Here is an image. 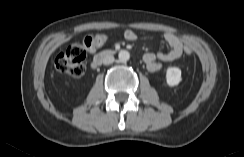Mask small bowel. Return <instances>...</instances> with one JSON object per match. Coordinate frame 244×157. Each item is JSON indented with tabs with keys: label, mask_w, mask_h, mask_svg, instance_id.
Returning a JSON list of instances; mask_svg holds the SVG:
<instances>
[{
	"label": "small bowel",
	"mask_w": 244,
	"mask_h": 157,
	"mask_svg": "<svg viewBox=\"0 0 244 157\" xmlns=\"http://www.w3.org/2000/svg\"><path fill=\"white\" fill-rule=\"evenodd\" d=\"M124 37L127 41H135L138 36L133 30H126ZM163 39L169 47L167 52L146 53L143 57L147 69L152 73L160 71L163 63L179 59L183 52L182 42L174 34L166 33L163 35Z\"/></svg>",
	"instance_id": "obj_1"
}]
</instances>
